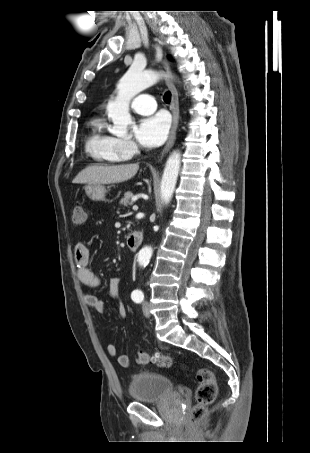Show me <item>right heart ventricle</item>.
<instances>
[{
  "label": "right heart ventricle",
  "mask_w": 310,
  "mask_h": 453,
  "mask_svg": "<svg viewBox=\"0 0 310 453\" xmlns=\"http://www.w3.org/2000/svg\"><path fill=\"white\" fill-rule=\"evenodd\" d=\"M85 149L92 159L101 163L114 164L128 158L120 149L118 139L107 132L105 122L100 117L92 118L89 123Z\"/></svg>",
  "instance_id": "right-heart-ventricle-1"
}]
</instances>
